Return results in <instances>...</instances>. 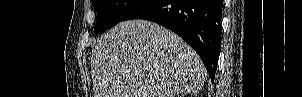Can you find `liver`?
<instances>
[{
  "mask_svg": "<svg viewBox=\"0 0 302 97\" xmlns=\"http://www.w3.org/2000/svg\"><path fill=\"white\" fill-rule=\"evenodd\" d=\"M94 97H175L198 94L206 69L178 35L150 21L118 23L91 54Z\"/></svg>",
  "mask_w": 302,
  "mask_h": 97,
  "instance_id": "obj_1",
  "label": "liver"
}]
</instances>
